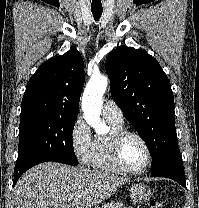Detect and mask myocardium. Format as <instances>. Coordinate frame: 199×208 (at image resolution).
<instances>
[{"label":"myocardium","mask_w":199,"mask_h":208,"mask_svg":"<svg viewBox=\"0 0 199 208\" xmlns=\"http://www.w3.org/2000/svg\"><path fill=\"white\" fill-rule=\"evenodd\" d=\"M130 136L137 138L143 144L147 153V159L145 163L138 169L128 168L122 159L121 150H122L123 142L126 140V138ZM110 152H111V158L114 164L122 172L127 173V174H132V175L140 174L144 172L152 162V151L147 140L138 132L128 130V129L121 130L113 135L111 142H110Z\"/></svg>","instance_id":"1"}]
</instances>
